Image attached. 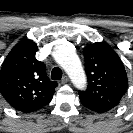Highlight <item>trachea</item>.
I'll return each instance as SVG.
<instances>
[{"label":"trachea","mask_w":133,"mask_h":133,"mask_svg":"<svg viewBox=\"0 0 133 133\" xmlns=\"http://www.w3.org/2000/svg\"><path fill=\"white\" fill-rule=\"evenodd\" d=\"M51 78L53 80H60L62 78V70L59 67H54L51 71Z\"/></svg>","instance_id":"1"}]
</instances>
